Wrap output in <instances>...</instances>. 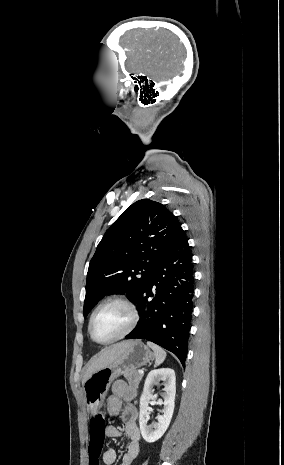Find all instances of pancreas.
Instances as JSON below:
<instances>
[{"instance_id": "cf45deb5", "label": "pancreas", "mask_w": 284, "mask_h": 465, "mask_svg": "<svg viewBox=\"0 0 284 465\" xmlns=\"http://www.w3.org/2000/svg\"><path fill=\"white\" fill-rule=\"evenodd\" d=\"M124 377L125 379H127L130 387H135V389H139L138 385L143 375H139L138 371H130V373L126 371V373H124Z\"/></svg>"}]
</instances>
